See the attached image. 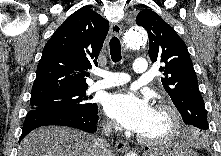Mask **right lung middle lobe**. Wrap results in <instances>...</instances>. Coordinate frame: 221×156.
Wrapping results in <instances>:
<instances>
[{
  "instance_id": "dd1d6c3e",
  "label": "right lung middle lobe",
  "mask_w": 221,
  "mask_h": 156,
  "mask_svg": "<svg viewBox=\"0 0 221 156\" xmlns=\"http://www.w3.org/2000/svg\"><path fill=\"white\" fill-rule=\"evenodd\" d=\"M86 89L56 93L31 99L30 110L69 113H92L98 110L96 103H89Z\"/></svg>"
}]
</instances>
